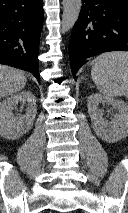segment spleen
<instances>
[{"label":"spleen","mask_w":128,"mask_h":213,"mask_svg":"<svg viewBox=\"0 0 128 213\" xmlns=\"http://www.w3.org/2000/svg\"><path fill=\"white\" fill-rule=\"evenodd\" d=\"M91 76L104 96L128 98V52L99 55L92 61Z\"/></svg>","instance_id":"obj_1"}]
</instances>
